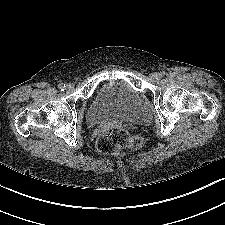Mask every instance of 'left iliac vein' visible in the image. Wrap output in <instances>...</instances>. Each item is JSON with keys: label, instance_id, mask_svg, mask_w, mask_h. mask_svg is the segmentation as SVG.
<instances>
[{"label": "left iliac vein", "instance_id": "1", "mask_svg": "<svg viewBox=\"0 0 225 225\" xmlns=\"http://www.w3.org/2000/svg\"><path fill=\"white\" fill-rule=\"evenodd\" d=\"M150 77H151V79H153V80H157V79L160 78V75H159V73H157V72H153V73H151Z\"/></svg>", "mask_w": 225, "mask_h": 225}]
</instances>
